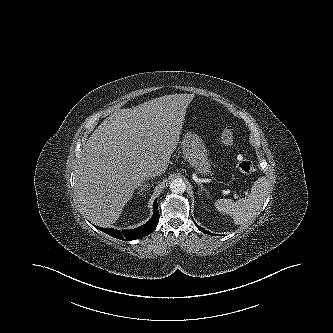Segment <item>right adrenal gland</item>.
<instances>
[{"instance_id":"right-adrenal-gland-1","label":"right adrenal gland","mask_w":333,"mask_h":333,"mask_svg":"<svg viewBox=\"0 0 333 333\" xmlns=\"http://www.w3.org/2000/svg\"><path fill=\"white\" fill-rule=\"evenodd\" d=\"M151 179H153V177H148V178H146V179L142 182V184L140 185L139 193H138V194H141V192H142L143 190H145L146 188L149 187V185H150L149 180H151ZM146 181H147V182H146Z\"/></svg>"}]
</instances>
